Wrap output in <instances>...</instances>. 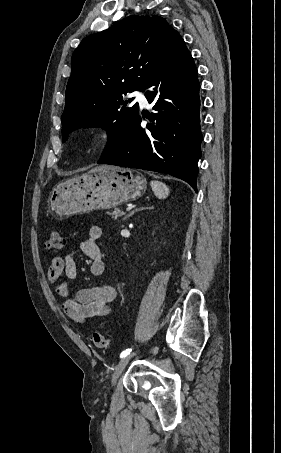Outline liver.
<instances>
[{
    "instance_id": "6515ba94",
    "label": "liver",
    "mask_w": 281,
    "mask_h": 453,
    "mask_svg": "<svg viewBox=\"0 0 281 453\" xmlns=\"http://www.w3.org/2000/svg\"><path fill=\"white\" fill-rule=\"evenodd\" d=\"M110 164H102V166H95V168H91L89 172H99V170H104V168H108Z\"/></svg>"
}]
</instances>
